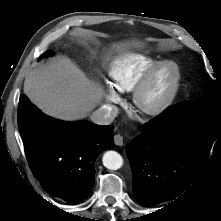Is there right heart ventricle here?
Segmentation results:
<instances>
[{
  "mask_svg": "<svg viewBox=\"0 0 221 221\" xmlns=\"http://www.w3.org/2000/svg\"><path fill=\"white\" fill-rule=\"evenodd\" d=\"M156 62V59L143 54H128L117 59L109 71L112 86L119 92L134 90Z\"/></svg>",
  "mask_w": 221,
  "mask_h": 221,
  "instance_id": "right-heart-ventricle-1",
  "label": "right heart ventricle"
}]
</instances>
